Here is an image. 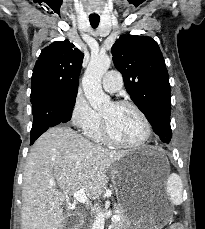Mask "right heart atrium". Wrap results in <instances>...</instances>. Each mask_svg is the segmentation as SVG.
Masks as SVG:
<instances>
[{
    "mask_svg": "<svg viewBox=\"0 0 205 229\" xmlns=\"http://www.w3.org/2000/svg\"><path fill=\"white\" fill-rule=\"evenodd\" d=\"M70 119L76 128L86 133L96 127L101 121L100 114L92 108L81 92H78L74 98Z\"/></svg>",
    "mask_w": 205,
    "mask_h": 229,
    "instance_id": "right-heart-atrium-1",
    "label": "right heart atrium"
}]
</instances>
